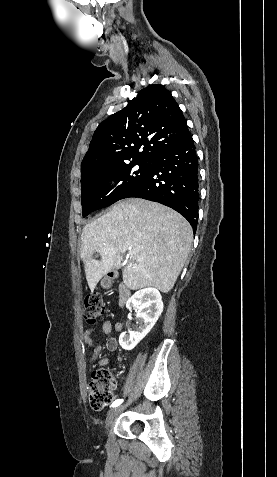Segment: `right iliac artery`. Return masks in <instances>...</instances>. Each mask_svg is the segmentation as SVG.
<instances>
[{
  "label": "right iliac artery",
  "instance_id": "1",
  "mask_svg": "<svg viewBox=\"0 0 277 477\" xmlns=\"http://www.w3.org/2000/svg\"><path fill=\"white\" fill-rule=\"evenodd\" d=\"M123 402V399H118L112 403V407H116L120 405Z\"/></svg>",
  "mask_w": 277,
  "mask_h": 477
}]
</instances>
